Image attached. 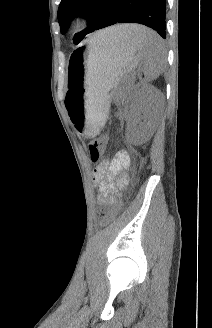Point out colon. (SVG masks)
I'll use <instances>...</instances> for the list:
<instances>
[{
    "mask_svg": "<svg viewBox=\"0 0 212 328\" xmlns=\"http://www.w3.org/2000/svg\"><path fill=\"white\" fill-rule=\"evenodd\" d=\"M107 147V138L101 136L92 140L88 145V150L92 162H97ZM122 207V201L117 202L106 211L100 212L101 225L106 226L116 217Z\"/></svg>",
    "mask_w": 212,
    "mask_h": 328,
    "instance_id": "colon-1",
    "label": "colon"
}]
</instances>
